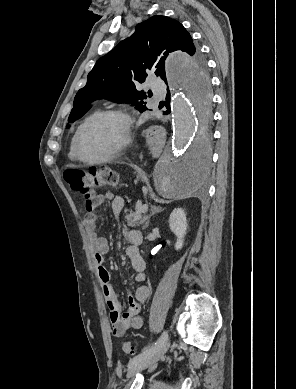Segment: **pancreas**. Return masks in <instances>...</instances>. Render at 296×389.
Masks as SVG:
<instances>
[{
	"label": "pancreas",
	"mask_w": 296,
	"mask_h": 389,
	"mask_svg": "<svg viewBox=\"0 0 296 389\" xmlns=\"http://www.w3.org/2000/svg\"><path fill=\"white\" fill-rule=\"evenodd\" d=\"M147 216L142 215L139 210L136 212H131L125 216L128 226L130 227H138L146 221Z\"/></svg>",
	"instance_id": "cf45deb5"
}]
</instances>
